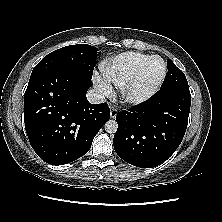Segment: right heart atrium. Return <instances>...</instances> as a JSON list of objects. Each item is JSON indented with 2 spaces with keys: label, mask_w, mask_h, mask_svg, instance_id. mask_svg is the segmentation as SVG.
Returning a JSON list of instances; mask_svg holds the SVG:
<instances>
[{
  "label": "right heart atrium",
  "mask_w": 222,
  "mask_h": 222,
  "mask_svg": "<svg viewBox=\"0 0 222 222\" xmlns=\"http://www.w3.org/2000/svg\"><path fill=\"white\" fill-rule=\"evenodd\" d=\"M93 82L95 87L104 95H111L113 93V88L111 83L103 76L99 74H94Z\"/></svg>",
  "instance_id": "obj_1"
}]
</instances>
